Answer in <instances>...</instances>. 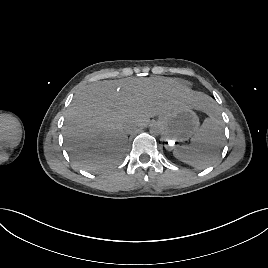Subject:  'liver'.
I'll return each mask as SVG.
<instances>
[{
	"label": "liver",
	"instance_id": "6515ba94",
	"mask_svg": "<svg viewBox=\"0 0 268 268\" xmlns=\"http://www.w3.org/2000/svg\"><path fill=\"white\" fill-rule=\"evenodd\" d=\"M208 104L203 94L169 79L95 82L82 88L66 111L63 135L67 150L83 170L112 168L126 152L130 128L183 107L204 111Z\"/></svg>",
	"mask_w": 268,
	"mask_h": 268
}]
</instances>
